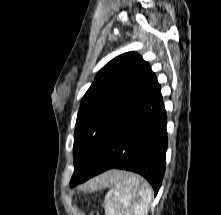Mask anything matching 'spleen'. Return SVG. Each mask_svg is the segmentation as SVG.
I'll list each match as a JSON object with an SVG mask.
<instances>
[{"instance_id": "spleen-1", "label": "spleen", "mask_w": 221, "mask_h": 215, "mask_svg": "<svg viewBox=\"0 0 221 215\" xmlns=\"http://www.w3.org/2000/svg\"><path fill=\"white\" fill-rule=\"evenodd\" d=\"M107 186L111 189L105 198L106 215H147L152 191L141 177L115 171Z\"/></svg>"}]
</instances>
